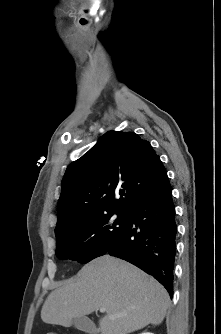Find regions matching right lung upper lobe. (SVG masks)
Returning <instances> with one entry per match:
<instances>
[{
  "mask_svg": "<svg viewBox=\"0 0 221 334\" xmlns=\"http://www.w3.org/2000/svg\"><path fill=\"white\" fill-rule=\"evenodd\" d=\"M166 178L165 167L148 141L134 132H107L66 169L56 237L97 216L129 212ZM118 191L121 197L115 200Z\"/></svg>",
  "mask_w": 221,
  "mask_h": 334,
  "instance_id": "right-lung-upper-lobe-1",
  "label": "right lung upper lobe"
}]
</instances>
